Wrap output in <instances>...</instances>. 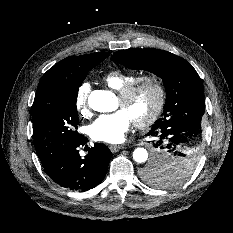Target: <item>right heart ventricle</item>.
<instances>
[{
	"label": "right heart ventricle",
	"mask_w": 233,
	"mask_h": 233,
	"mask_svg": "<svg viewBox=\"0 0 233 233\" xmlns=\"http://www.w3.org/2000/svg\"><path fill=\"white\" fill-rule=\"evenodd\" d=\"M135 77L134 73L121 69H113L102 75L101 80L114 91H119L126 83Z\"/></svg>",
	"instance_id": "obj_1"
}]
</instances>
